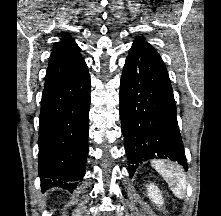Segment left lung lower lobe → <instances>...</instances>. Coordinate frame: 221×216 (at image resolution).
<instances>
[{
    "label": "left lung lower lobe",
    "instance_id": "left-lung-lower-lobe-1",
    "mask_svg": "<svg viewBox=\"0 0 221 216\" xmlns=\"http://www.w3.org/2000/svg\"><path fill=\"white\" fill-rule=\"evenodd\" d=\"M119 102L130 177L139 163L153 158H169L187 169L167 69L149 43H133L121 77Z\"/></svg>",
    "mask_w": 221,
    "mask_h": 216
}]
</instances>
